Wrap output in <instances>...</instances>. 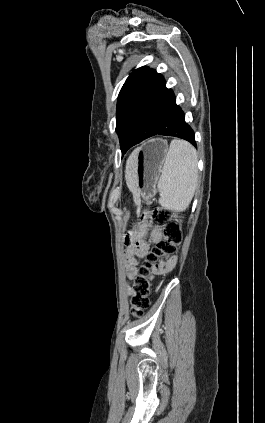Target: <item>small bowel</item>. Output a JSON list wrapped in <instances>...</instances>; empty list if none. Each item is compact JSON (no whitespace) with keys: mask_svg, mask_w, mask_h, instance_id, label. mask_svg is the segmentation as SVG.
Wrapping results in <instances>:
<instances>
[{"mask_svg":"<svg viewBox=\"0 0 265 423\" xmlns=\"http://www.w3.org/2000/svg\"><path fill=\"white\" fill-rule=\"evenodd\" d=\"M143 236L139 240V244L131 246L125 254L126 276L129 280H133L138 275L139 260L143 258L149 251V242H156L161 237L158 229H153L148 234V240ZM177 265V257L173 256L165 261H161L152 267V275H165L171 272ZM129 290V289H128Z\"/></svg>","mask_w":265,"mask_h":423,"instance_id":"small-bowel-1","label":"small bowel"}]
</instances>
